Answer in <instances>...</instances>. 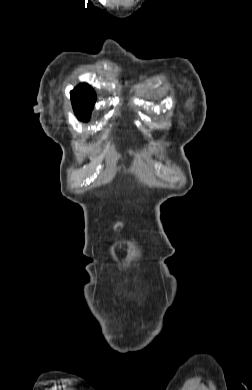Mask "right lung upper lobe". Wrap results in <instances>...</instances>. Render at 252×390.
I'll return each mask as SVG.
<instances>
[{
    "instance_id": "cb5924a9",
    "label": "right lung upper lobe",
    "mask_w": 252,
    "mask_h": 390,
    "mask_svg": "<svg viewBox=\"0 0 252 390\" xmlns=\"http://www.w3.org/2000/svg\"><path fill=\"white\" fill-rule=\"evenodd\" d=\"M70 95L75 113H86L93 109L96 94L90 85L80 84L70 92Z\"/></svg>"
}]
</instances>
